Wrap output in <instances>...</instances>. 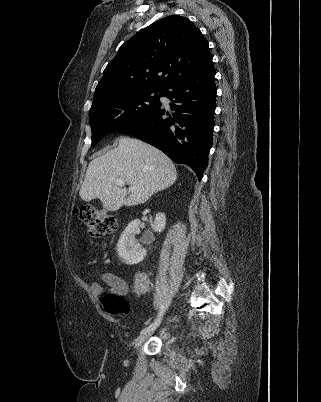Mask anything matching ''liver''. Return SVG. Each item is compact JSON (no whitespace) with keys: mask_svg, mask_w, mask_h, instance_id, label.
I'll return each instance as SVG.
<instances>
[{"mask_svg":"<svg viewBox=\"0 0 321 402\" xmlns=\"http://www.w3.org/2000/svg\"><path fill=\"white\" fill-rule=\"evenodd\" d=\"M119 178L135 188L128 197L127 189L116 184ZM176 180V168L163 152L139 139L120 137L118 147L89 163L79 195L87 202L97 198L104 209L117 211L145 203Z\"/></svg>","mask_w":321,"mask_h":402,"instance_id":"obj_1","label":"liver"}]
</instances>
